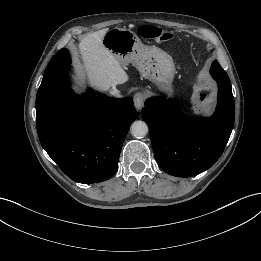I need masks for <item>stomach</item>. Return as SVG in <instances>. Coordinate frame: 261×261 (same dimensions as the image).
Wrapping results in <instances>:
<instances>
[{
  "instance_id": "1",
  "label": "stomach",
  "mask_w": 261,
  "mask_h": 261,
  "mask_svg": "<svg viewBox=\"0 0 261 261\" xmlns=\"http://www.w3.org/2000/svg\"><path fill=\"white\" fill-rule=\"evenodd\" d=\"M102 43L122 66L134 64L140 74L152 81L162 93L173 95L175 66L169 54L157 47L144 45L134 32L126 28L108 30Z\"/></svg>"
}]
</instances>
